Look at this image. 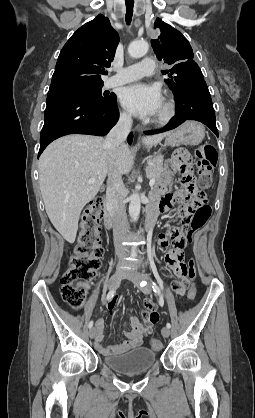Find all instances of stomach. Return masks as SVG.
Returning <instances> with one entry per match:
<instances>
[{"mask_svg": "<svg viewBox=\"0 0 255 418\" xmlns=\"http://www.w3.org/2000/svg\"><path fill=\"white\" fill-rule=\"evenodd\" d=\"M204 128L195 122H186L165 137L166 146L197 145L204 138Z\"/></svg>", "mask_w": 255, "mask_h": 418, "instance_id": "1", "label": "stomach"}]
</instances>
